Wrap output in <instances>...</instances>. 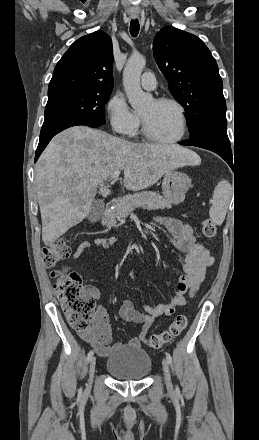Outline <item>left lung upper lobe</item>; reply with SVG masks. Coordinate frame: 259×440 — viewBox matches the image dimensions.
<instances>
[{
	"instance_id": "obj_1",
	"label": "left lung upper lobe",
	"mask_w": 259,
	"mask_h": 440,
	"mask_svg": "<svg viewBox=\"0 0 259 440\" xmlns=\"http://www.w3.org/2000/svg\"><path fill=\"white\" fill-rule=\"evenodd\" d=\"M153 51L171 94L186 111L190 136L211 123L227 125L222 79L203 41L180 29L165 27L155 36Z\"/></svg>"
}]
</instances>
